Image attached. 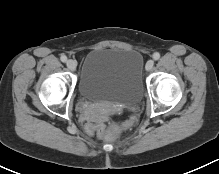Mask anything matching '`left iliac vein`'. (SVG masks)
<instances>
[{
	"instance_id": "obj_1",
	"label": "left iliac vein",
	"mask_w": 219,
	"mask_h": 174,
	"mask_svg": "<svg viewBox=\"0 0 219 174\" xmlns=\"http://www.w3.org/2000/svg\"><path fill=\"white\" fill-rule=\"evenodd\" d=\"M153 66H154V61L153 60H148L146 65H145L146 71L152 70Z\"/></svg>"
}]
</instances>
